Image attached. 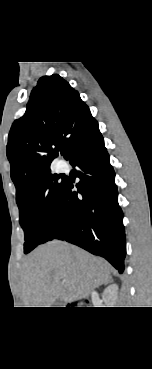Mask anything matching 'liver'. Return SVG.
Returning a JSON list of instances; mask_svg holds the SVG:
<instances>
[{
  "mask_svg": "<svg viewBox=\"0 0 152 369\" xmlns=\"http://www.w3.org/2000/svg\"><path fill=\"white\" fill-rule=\"evenodd\" d=\"M110 279L105 260L76 246L54 240L36 248L25 260L22 275L24 307H52L89 296Z\"/></svg>",
  "mask_w": 152,
  "mask_h": 369,
  "instance_id": "obj_1",
  "label": "liver"
}]
</instances>
